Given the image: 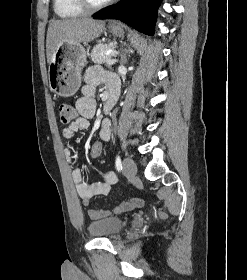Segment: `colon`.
Instances as JSON below:
<instances>
[{"instance_id":"5ec220e1","label":"colon","mask_w":247,"mask_h":280,"mask_svg":"<svg viewBox=\"0 0 247 280\" xmlns=\"http://www.w3.org/2000/svg\"><path fill=\"white\" fill-rule=\"evenodd\" d=\"M59 117L62 123L69 124L74 122L76 119L75 109L67 103H62L58 108ZM105 146V141L103 139H94L90 147V155L93 158L99 157L102 153L103 147Z\"/></svg>"}]
</instances>
